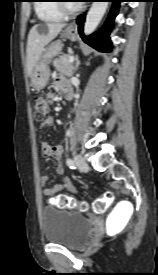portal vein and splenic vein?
Masks as SVG:
<instances>
[{"label":"portal vein and splenic vein","instance_id":"1","mask_svg":"<svg viewBox=\"0 0 158 275\" xmlns=\"http://www.w3.org/2000/svg\"><path fill=\"white\" fill-rule=\"evenodd\" d=\"M74 61V57L70 56L69 62L72 63Z\"/></svg>","mask_w":158,"mask_h":275}]
</instances>
